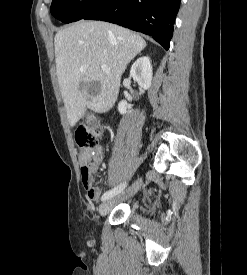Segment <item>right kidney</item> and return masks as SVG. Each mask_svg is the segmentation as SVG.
<instances>
[{
    "mask_svg": "<svg viewBox=\"0 0 247 275\" xmlns=\"http://www.w3.org/2000/svg\"><path fill=\"white\" fill-rule=\"evenodd\" d=\"M152 66L149 57H140L132 65L130 70V76L138 85L144 90L149 89L152 81ZM127 109L129 111H127ZM132 106L125 101H121L118 104V111L120 114H126L131 112Z\"/></svg>",
    "mask_w": 247,
    "mask_h": 275,
    "instance_id": "ca27d5eb",
    "label": "right kidney"
}]
</instances>
